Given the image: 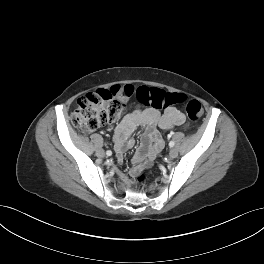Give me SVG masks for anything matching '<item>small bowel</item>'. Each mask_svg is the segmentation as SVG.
Instances as JSON below:
<instances>
[{
    "label": "small bowel",
    "mask_w": 264,
    "mask_h": 264,
    "mask_svg": "<svg viewBox=\"0 0 264 264\" xmlns=\"http://www.w3.org/2000/svg\"><path fill=\"white\" fill-rule=\"evenodd\" d=\"M186 124L185 115L175 107L167 108L164 113L155 109H135L126 115L114 132V143L118 161H123L125 150L134 146V140L130 135L137 127H145L146 132L141 138L140 147L132 159V165L128 175H124L123 181L128 183L130 178L138 174L143 168L150 166L162 150L164 143L156 128L170 129L174 126Z\"/></svg>",
    "instance_id": "small-bowel-1"
}]
</instances>
